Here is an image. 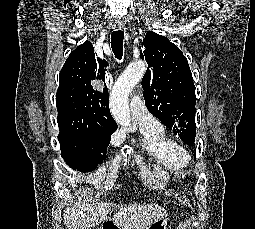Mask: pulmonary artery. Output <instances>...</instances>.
I'll return each mask as SVG.
<instances>
[{"label": "pulmonary artery", "mask_w": 255, "mask_h": 229, "mask_svg": "<svg viewBox=\"0 0 255 229\" xmlns=\"http://www.w3.org/2000/svg\"><path fill=\"white\" fill-rule=\"evenodd\" d=\"M130 109L132 118L137 124L148 127H155L158 124V121L146 109L139 95L131 97Z\"/></svg>", "instance_id": "e3ab8cb5"}]
</instances>
